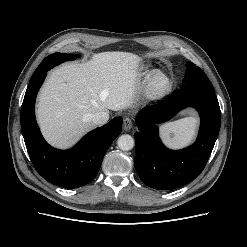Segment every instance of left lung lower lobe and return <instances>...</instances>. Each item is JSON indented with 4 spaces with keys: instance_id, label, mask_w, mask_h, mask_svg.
<instances>
[{
    "instance_id": "obj_1",
    "label": "left lung lower lobe",
    "mask_w": 247,
    "mask_h": 247,
    "mask_svg": "<svg viewBox=\"0 0 247 247\" xmlns=\"http://www.w3.org/2000/svg\"><path fill=\"white\" fill-rule=\"evenodd\" d=\"M187 106L196 108L201 118L197 140L188 148L169 150L159 138L157 124ZM136 121L135 168L140 179L151 188L172 190L194 180L204 169L219 133L221 112L213 86L189 83L163 102L143 108Z\"/></svg>"
}]
</instances>
